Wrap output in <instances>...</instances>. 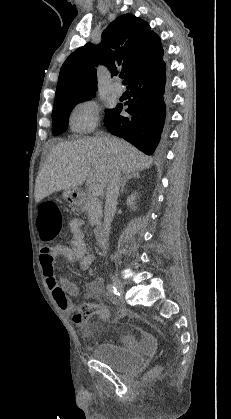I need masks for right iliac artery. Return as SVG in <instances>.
<instances>
[{
  "label": "right iliac artery",
  "mask_w": 231,
  "mask_h": 419,
  "mask_svg": "<svg viewBox=\"0 0 231 419\" xmlns=\"http://www.w3.org/2000/svg\"><path fill=\"white\" fill-rule=\"evenodd\" d=\"M107 290L110 294H117V289L114 285L112 284H108L107 285Z\"/></svg>",
  "instance_id": "1"
}]
</instances>
